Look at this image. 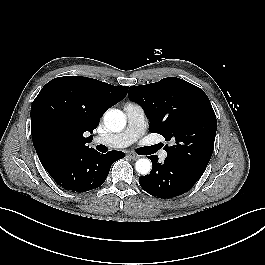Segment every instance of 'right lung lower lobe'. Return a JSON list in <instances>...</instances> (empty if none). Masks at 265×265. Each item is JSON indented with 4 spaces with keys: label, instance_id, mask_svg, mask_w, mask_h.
<instances>
[{
    "label": "right lung lower lobe",
    "instance_id": "right-lung-lower-lobe-1",
    "mask_svg": "<svg viewBox=\"0 0 265 265\" xmlns=\"http://www.w3.org/2000/svg\"><path fill=\"white\" fill-rule=\"evenodd\" d=\"M125 156L120 151L100 154L95 149L71 153L43 163L50 176L64 189L86 192L101 186L111 165Z\"/></svg>",
    "mask_w": 265,
    "mask_h": 265
}]
</instances>
